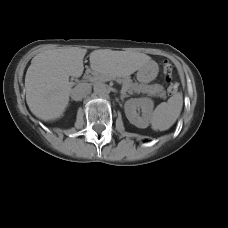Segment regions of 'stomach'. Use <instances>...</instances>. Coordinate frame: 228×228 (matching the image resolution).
Returning a JSON list of instances; mask_svg holds the SVG:
<instances>
[{
    "label": "stomach",
    "instance_id": "0dacf381",
    "mask_svg": "<svg viewBox=\"0 0 228 228\" xmlns=\"http://www.w3.org/2000/svg\"><path fill=\"white\" fill-rule=\"evenodd\" d=\"M157 72H158L157 65L154 63H150L146 67L138 70L137 80L141 83H149L156 78Z\"/></svg>",
    "mask_w": 228,
    "mask_h": 228
}]
</instances>
